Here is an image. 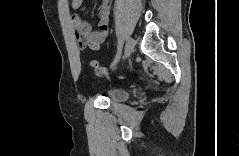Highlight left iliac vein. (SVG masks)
Masks as SVG:
<instances>
[{"label":"left iliac vein","instance_id":"obj_1","mask_svg":"<svg viewBox=\"0 0 239 156\" xmlns=\"http://www.w3.org/2000/svg\"><path fill=\"white\" fill-rule=\"evenodd\" d=\"M135 47V40L133 38H128L126 45H125V50H124V55H123V59H127L131 53L133 52Z\"/></svg>","mask_w":239,"mask_h":156}]
</instances>
